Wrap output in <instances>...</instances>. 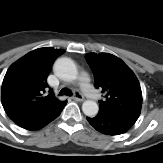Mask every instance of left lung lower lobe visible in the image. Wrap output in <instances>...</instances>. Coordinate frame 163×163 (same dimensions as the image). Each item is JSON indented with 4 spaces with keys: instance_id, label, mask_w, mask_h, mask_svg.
Masks as SVG:
<instances>
[{
    "instance_id": "1",
    "label": "left lung lower lobe",
    "mask_w": 163,
    "mask_h": 163,
    "mask_svg": "<svg viewBox=\"0 0 163 163\" xmlns=\"http://www.w3.org/2000/svg\"><path fill=\"white\" fill-rule=\"evenodd\" d=\"M88 122L99 132L109 135H119L129 129L137 119L127 116L98 114L88 118Z\"/></svg>"
}]
</instances>
